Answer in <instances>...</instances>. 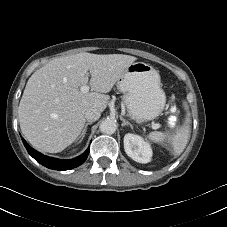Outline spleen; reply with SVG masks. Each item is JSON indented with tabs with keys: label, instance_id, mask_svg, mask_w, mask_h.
Returning a JSON list of instances; mask_svg holds the SVG:
<instances>
[{
	"label": "spleen",
	"instance_id": "3e777b00",
	"mask_svg": "<svg viewBox=\"0 0 227 227\" xmlns=\"http://www.w3.org/2000/svg\"><path fill=\"white\" fill-rule=\"evenodd\" d=\"M183 106L187 112L186 118L183 125L179 129H177L174 135L169 136L168 134L159 131L151 132L148 135V139L154 143H161L168 139V142L172 146L174 156H178L183 152L189 140L191 122L190 113L185 101L183 102Z\"/></svg>",
	"mask_w": 227,
	"mask_h": 227
}]
</instances>
